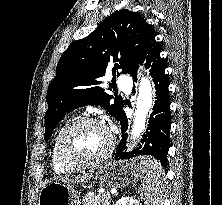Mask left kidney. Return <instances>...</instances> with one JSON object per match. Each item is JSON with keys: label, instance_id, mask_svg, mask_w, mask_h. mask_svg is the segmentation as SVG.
Returning a JSON list of instances; mask_svg holds the SVG:
<instances>
[{"label": "left kidney", "instance_id": "1", "mask_svg": "<svg viewBox=\"0 0 222 205\" xmlns=\"http://www.w3.org/2000/svg\"><path fill=\"white\" fill-rule=\"evenodd\" d=\"M115 205H142L138 200H134L132 197H122Z\"/></svg>", "mask_w": 222, "mask_h": 205}]
</instances>
